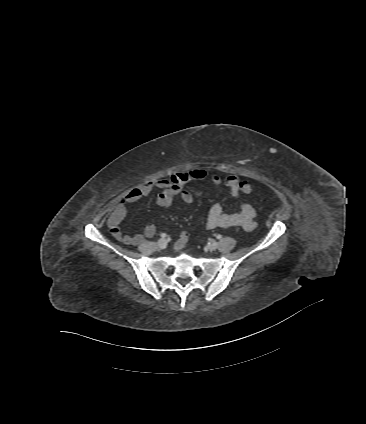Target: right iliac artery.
Returning a JSON list of instances; mask_svg holds the SVG:
<instances>
[{
	"mask_svg": "<svg viewBox=\"0 0 366 424\" xmlns=\"http://www.w3.org/2000/svg\"><path fill=\"white\" fill-rule=\"evenodd\" d=\"M166 236H167V235H166L165 233H162V234H161V237H162V238H165Z\"/></svg>",
	"mask_w": 366,
	"mask_h": 424,
	"instance_id": "obj_1",
	"label": "right iliac artery"
}]
</instances>
